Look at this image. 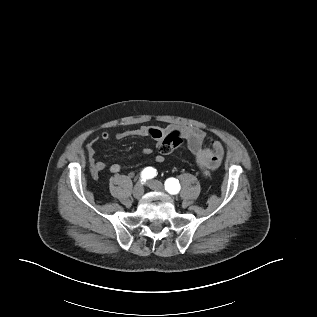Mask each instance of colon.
Here are the masks:
<instances>
[{
    "mask_svg": "<svg viewBox=\"0 0 317 317\" xmlns=\"http://www.w3.org/2000/svg\"><path fill=\"white\" fill-rule=\"evenodd\" d=\"M183 143V136L179 130H172L167 132L161 143L158 145V150L166 155L181 147Z\"/></svg>",
    "mask_w": 317,
    "mask_h": 317,
    "instance_id": "colon-1",
    "label": "colon"
}]
</instances>
